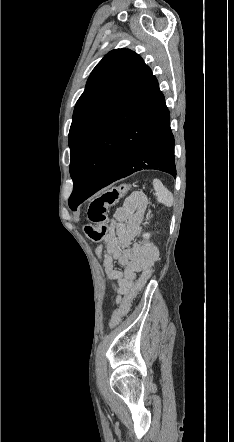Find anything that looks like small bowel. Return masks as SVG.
<instances>
[{"label": "small bowel", "mask_w": 234, "mask_h": 442, "mask_svg": "<svg viewBox=\"0 0 234 442\" xmlns=\"http://www.w3.org/2000/svg\"><path fill=\"white\" fill-rule=\"evenodd\" d=\"M147 198L133 193L118 207L110 222L107 235L96 247L106 275L117 291L116 303L122 305L139 273L152 268L157 260V251L150 244H132L140 224L145 218ZM123 270L115 267V263Z\"/></svg>", "instance_id": "1"}]
</instances>
